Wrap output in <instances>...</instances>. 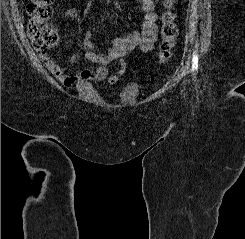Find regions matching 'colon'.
<instances>
[{
  "label": "colon",
  "instance_id": "obj_1",
  "mask_svg": "<svg viewBox=\"0 0 245 239\" xmlns=\"http://www.w3.org/2000/svg\"><path fill=\"white\" fill-rule=\"evenodd\" d=\"M55 0H31L27 5L29 22L27 33L33 48L41 56L57 44L58 35L49 25L48 21L53 15L52 3ZM175 0H163V13L161 16V43L158 53V62L167 65L173 57L178 28L176 14L173 11Z\"/></svg>",
  "mask_w": 245,
  "mask_h": 239
}]
</instances>
